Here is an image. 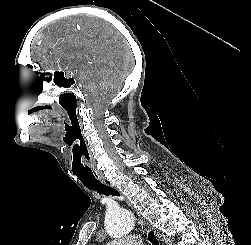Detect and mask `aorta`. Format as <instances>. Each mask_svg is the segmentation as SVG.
Returning <instances> with one entry per match:
<instances>
[{"instance_id": "obj_1", "label": "aorta", "mask_w": 251, "mask_h": 245, "mask_svg": "<svg viewBox=\"0 0 251 245\" xmlns=\"http://www.w3.org/2000/svg\"><path fill=\"white\" fill-rule=\"evenodd\" d=\"M134 226V217L126 209H117L106 214L105 228L112 238H121L128 235Z\"/></svg>"}]
</instances>
